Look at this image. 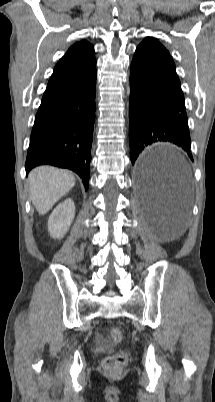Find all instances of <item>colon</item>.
<instances>
[{
    "instance_id": "1",
    "label": "colon",
    "mask_w": 215,
    "mask_h": 402,
    "mask_svg": "<svg viewBox=\"0 0 215 402\" xmlns=\"http://www.w3.org/2000/svg\"><path fill=\"white\" fill-rule=\"evenodd\" d=\"M122 339V332L117 328H112L108 333V341L113 344H117ZM127 362V356L123 352H117L108 356L104 362L103 367L110 373L120 371Z\"/></svg>"
}]
</instances>
